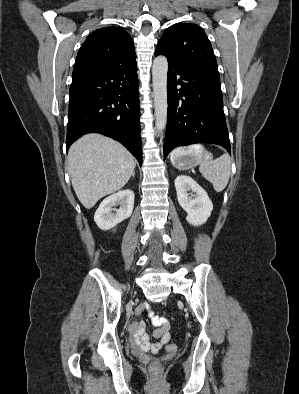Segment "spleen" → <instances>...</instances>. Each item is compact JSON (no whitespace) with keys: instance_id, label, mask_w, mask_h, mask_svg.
<instances>
[{"instance_id":"3e777b00","label":"spleen","mask_w":299,"mask_h":394,"mask_svg":"<svg viewBox=\"0 0 299 394\" xmlns=\"http://www.w3.org/2000/svg\"><path fill=\"white\" fill-rule=\"evenodd\" d=\"M200 149V145H194L189 148L190 151ZM200 172L210 183L216 192H222L230 178L231 173V159L228 154H223L219 158L213 160V155L209 152H204L203 160L200 162Z\"/></svg>"}]
</instances>
